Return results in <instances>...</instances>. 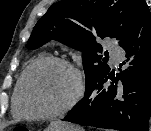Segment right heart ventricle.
I'll list each match as a JSON object with an SVG mask.
<instances>
[{
	"label": "right heart ventricle",
	"mask_w": 151,
	"mask_h": 131,
	"mask_svg": "<svg viewBox=\"0 0 151 131\" xmlns=\"http://www.w3.org/2000/svg\"><path fill=\"white\" fill-rule=\"evenodd\" d=\"M25 72V71H24ZM24 72L22 73V75L20 76V78L18 79L17 83H16V86L14 88V91H13V94H12V100H11V112H12V115L16 118H20L22 117L21 113L19 112L18 110V107H17V96H18V92H19V88H20V83H21V80H22V77H23V74Z\"/></svg>",
	"instance_id": "obj_1"
}]
</instances>
